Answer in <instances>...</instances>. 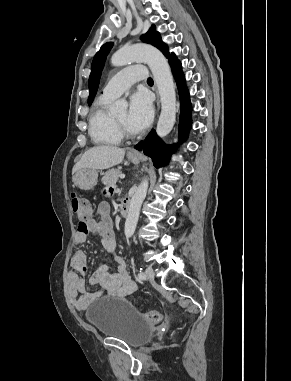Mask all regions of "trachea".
<instances>
[{"instance_id": "trachea-1", "label": "trachea", "mask_w": 291, "mask_h": 381, "mask_svg": "<svg viewBox=\"0 0 291 381\" xmlns=\"http://www.w3.org/2000/svg\"><path fill=\"white\" fill-rule=\"evenodd\" d=\"M147 83H148V84H153V79H152L151 77H149V78L147 79Z\"/></svg>"}]
</instances>
